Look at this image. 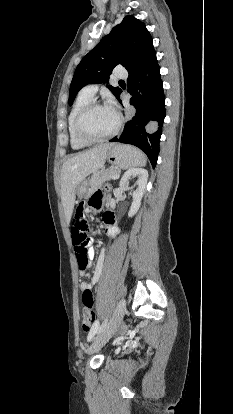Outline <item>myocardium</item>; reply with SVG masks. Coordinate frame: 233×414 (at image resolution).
<instances>
[{"label": "myocardium", "instance_id": "obj_1", "mask_svg": "<svg viewBox=\"0 0 233 414\" xmlns=\"http://www.w3.org/2000/svg\"><path fill=\"white\" fill-rule=\"evenodd\" d=\"M99 107H106V106L98 101H91L87 105H85L81 109V111L78 113L75 123H74V131L79 140L83 142H87V143L103 142V141L113 138L120 131L123 119H122V116L118 112H116V115H117L116 125L114 129L108 134L96 137V136L89 135L88 133L84 131L83 129L84 119L92 110L99 108Z\"/></svg>", "mask_w": 233, "mask_h": 414}]
</instances>
